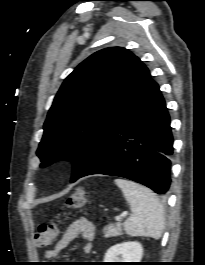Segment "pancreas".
<instances>
[{
    "instance_id": "obj_1",
    "label": "pancreas",
    "mask_w": 205,
    "mask_h": 265,
    "mask_svg": "<svg viewBox=\"0 0 205 265\" xmlns=\"http://www.w3.org/2000/svg\"><path fill=\"white\" fill-rule=\"evenodd\" d=\"M103 232L106 238L119 236L122 234V224L120 222L109 224L104 227Z\"/></svg>"
}]
</instances>
